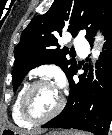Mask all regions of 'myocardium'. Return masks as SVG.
Listing matches in <instances>:
<instances>
[{
    "label": "myocardium",
    "instance_id": "obj_1",
    "mask_svg": "<svg viewBox=\"0 0 112 135\" xmlns=\"http://www.w3.org/2000/svg\"><path fill=\"white\" fill-rule=\"evenodd\" d=\"M41 85H53V83L48 79H38L33 81L26 87L20 100L21 115L31 123H42L55 118L63 110L65 105V98L60 93L59 104L51 113L46 115L35 114L30 107V96L34 89Z\"/></svg>",
    "mask_w": 112,
    "mask_h": 135
}]
</instances>
